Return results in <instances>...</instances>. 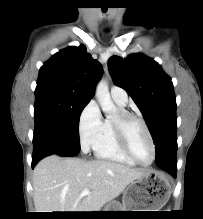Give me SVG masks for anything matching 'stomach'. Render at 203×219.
<instances>
[{
	"label": "stomach",
	"mask_w": 203,
	"mask_h": 219,
	"mask_svg": "<svg viewBox=\"0 0 203 219\" xmlns=\"http://www.w3.org/2000/svg\"><path fill=\"white\" fill-rule=\"evenodd\" d=\"M170 193L166 178L156 171L148 170L129 185L122 203L110 202L103 211H159L168 201Z\"/></svg>",
	"instance_id": "obj_1"
}]
</instances>
